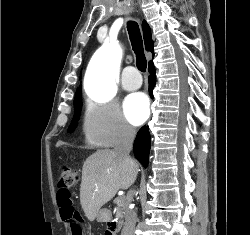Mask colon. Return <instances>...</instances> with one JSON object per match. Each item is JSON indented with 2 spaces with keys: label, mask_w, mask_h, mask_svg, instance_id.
Masks as SVG:
<instances>
[{
  "label": "colon",
  "mask_w": 250,
  "mask_h": 235,
  "mask_svg": "<svg viewBox=\"0 0 250 235\" xmlns=\"http://www.w3.org/2000/svg\"><path fill=\"white\" fill-rule=\"evenodd\" d=\"M58 176L57 202L61 209V216L64 222L69 224L73 235H84L82 218L70 196V189L78 182V172L68 165H62L59 167Z\"/></svg>",
  "instance_id": "obj_1"
}]
</instances>
